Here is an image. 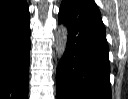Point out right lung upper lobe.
I'll use <instances>...</instances> for the list:
<instances>
[{"mask_svg": "<svg viewBox=\"0 0 128 99\" xmlns=\"http://www.w3.org/2000/svg\"><path fill=\"white\" fill-rule=\"evenodd\" d=\"M27 6L25 0H0V23Z\"/></svg>", "mask_w": 128, "mask_h": 99, "instance_id": "cb5924a9", "label": "right lung upper lobe"}]
</instances>
